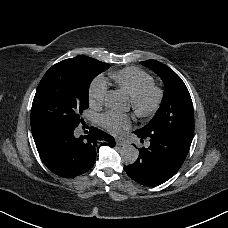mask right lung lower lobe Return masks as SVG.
<instances>
[{
  "label": "right lung lower lobe",
  "instance_id": "right-lung-lower-lobe-1",
  "mask_svg": "<svg viewBox=\"0 0 228 228\" xmlns=\"http://www.w3.org/2000/svg\"><path fill=\"white\" fill-rule=\"evenodd\" d=\"M76 127L44 125L32 128L39 155L46 167L64 178L87 172L95 163L98 146H115L114 138L90 127L86 135L77 137Z\"/></svg>",
  "mask_w": 228,
  "mask_h": 228
}]
</instances>
